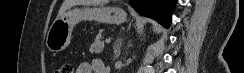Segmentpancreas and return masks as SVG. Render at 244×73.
Segmentation results:
<instances>
[{
    "instance_id": "cf45deb5",
    "label": "pancreas",
    "mask_w": 244,
    "mask_h": 73,
    "mask_svg": "<svg viewBox=\"0 0 244 73\" xmlns=\"http://www.w3.org/2000/svg\"><path fill=\"white\" fill-rule=\"evenodd\" d=\"M102 36L98 34L90 47V53L101 54L104 50V42Z\"/></svg>"
}]
</instances>
